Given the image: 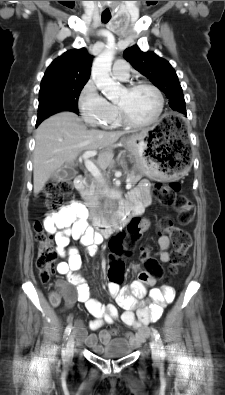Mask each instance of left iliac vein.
<instances>
[{"instance_id": "4c4485c4", "label": "left iliac vein", "mask_w": 225, "mask_h": 395, "mask_svg": "<svg viewBox=\"0 0 225 395\" xmlns=\"http://www.w3.org/2000/svg\"><path fill=\"white\" fill-rule=\"evenodd\" d=\"M151 350H152V356L156 361H159L160 359V349L157 341L154 338H151Z\"/></svg>"}]
</instances>
